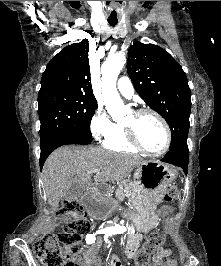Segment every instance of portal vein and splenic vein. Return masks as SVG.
<instances>
[{"label": "portal vein and splenic vein", "mask_w": 221, "mask_h": 266, "mask_svg": "<svg viewBox=\"0 0 221 266\" xmlns=\"http://www.w3.org/2000/svg\"><path fill=\"white\" fill-rule=\"evenodd\" d=\"M99 171H100L99 168H93V169L91 170V173H97V172H99Z\"/></svg>", "instance_id": "18ae733b"}]
</instances>
